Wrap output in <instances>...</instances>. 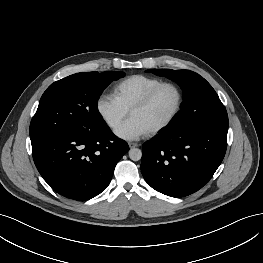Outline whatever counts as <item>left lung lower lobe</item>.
I'll use <instances>...</instances> for the list:
<instances>
[{
	"instance_id": "0a47b994",
	"label": "left lung lower lobe",
	"mask_w": 263,
	"mask_h": 263,
	"mask_svg": "<svg viewBox=\"0 0 263 263\" xmlns=\"http://www.w3.org/2000/svg\"><path fill=\"white\" fill-rule=\"evenodd\" d=\"M227 132L228 124L193 132L165 128L142 147L144 179L156 191L176 198L198 191L224 158Z\"/></svg>"
}]
</instances>
